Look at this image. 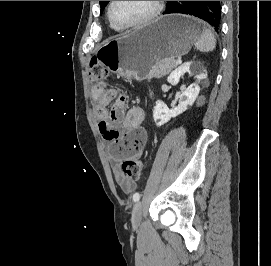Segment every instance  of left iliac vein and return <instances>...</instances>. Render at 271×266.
Wrapping results in <instances>:
<instances>
[{"instance_id":"4c4485c4","label":"left iliac vein","mask_w":271,"mask_h":266,"mask_svg":"<svg viewBox=\"0 0 271 266\" xmlns=\"http://www.w3.org/2000/svg\"><path fill=\"white\" fill-rule=\"evenodd\" d=\"M143 213V205L142 202H137L132 210L131 222L133 228L137 229L140 226L141 218Z\"/></svg>"}]
</instances>
